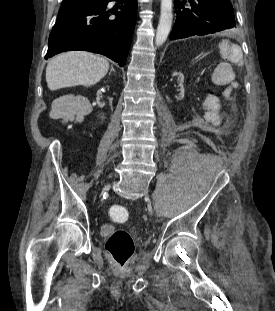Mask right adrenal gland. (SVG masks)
Here are the masks:
<instances>
[{"label":"right adrenal gland","instance_id":"2a0ac1e0","mask_svg":"<svg viewBox=\"0 0 275 311\" xmlns=\"http://www.w3.org/2000/svg\"><path fill=\"white\" fill-rule=\"evenodd\" d=\"M112 72H115V69H114V67L111 65V69H110L109 75H110Z\"/></svg>","mask_w":275,"mask_h":311}]
</instances>
